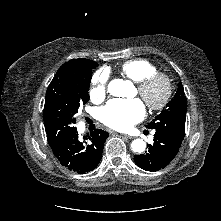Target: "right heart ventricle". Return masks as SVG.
<instances>
[{
    "mask_svg": "<svg viewBox=\"0 0 221 221\" xmlns=\"http://www.w3.org/2000/svg\"><path fill=\"white\" fill-rule=\"evenodd\" d=\"M121 72L134 82H139L147 76L157 72V67L148 60L134 59L121 66Z\"/></svg>",
    "mask_w": 221,
    "mask_h": 221,
    "instance_id": "e07e8e85",
    "label": "right heart ventricle"
}]
</instances>
